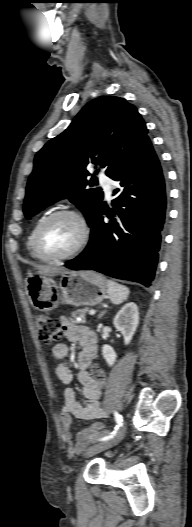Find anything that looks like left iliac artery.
<instances>
[{"label": "left iliac artery", "mask_w": 192, "mask_h": 527, "mask_svg": "<svg viewBox=\"0 0 192 527\" xmlns=\"http://www.w3.org/2000/svg\"><path fill=\"white\" fill-rule=\"evenodd\" d=\"M114 416H115V421L117 423V425L115 427V430L112 431L109 435L101 438L100 439L101 441H106V440H109V439L113 438L116 435L118 429L123 425L122 416L118 412H114Z\"/></svg>", "instance_id": "obj_1"}]
</instances>
